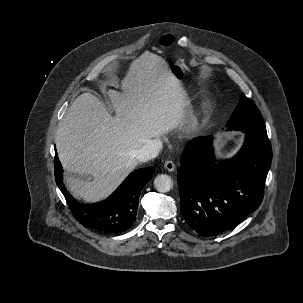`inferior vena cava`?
Instances as JSON below:
<instances>
[{
  "instance_id": "602c4592",
  "label": "inferior vena cava",
  "mask_w": 303,
  "mask_h": 303,
  "mask_svg": "<svg viewBox=\"0 0 303 303\" xmlns=\"http://www.w3.org/2000/svg\"><path fill=\"white\" fill-rule=\"evenodd\" d=\"M161 148L162 142L160 140H149L140 149L134 152V158L139 162H146L156 158Z\"/></svg>"
}]
</instances>
